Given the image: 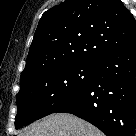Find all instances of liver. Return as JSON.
Wrapping results in <instances>:
<instances>
[{
    "instance_id": "obj_1",
    "label": "liver",
    "mask_w": 136,
    "mask_h": 136,
    "mask_svg": "<svg viewBox=\"0 0 136 136\" xmlns=\"http://www.w3.org/2000/svg\"><path fill=\"white\" fill-rule=\"evenodd\" d=\"M21 136H103V134L78 117L60 113L33 123Z\"/></svg>"
}]
</instances>
